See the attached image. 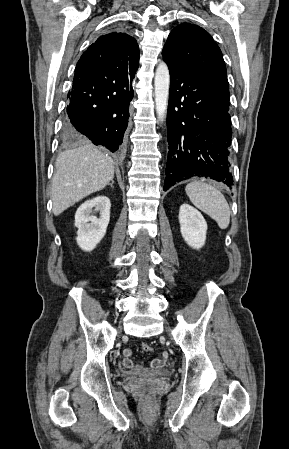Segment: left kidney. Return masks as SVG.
Wrapping results in <instances>:
<instances>
[{"label": "left kidney", "instance_id": "1", "mask_svg": "<svg viewBox=\"0 0 289 449\" xmlns=\"http://www.w3.org/2000/svg\"><path fill=\"white\" fill-rule=\"evenodd\" d=\"M179 223L182 237L190 247L199 249L205 244L207 223L198 210L189 204H182Z\"/></svg>", "mask_w": 289, "mask_h": 449}]
</instances>
